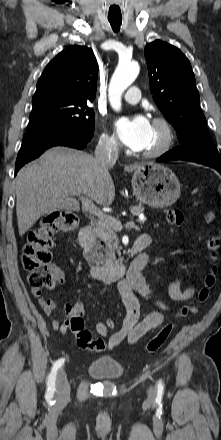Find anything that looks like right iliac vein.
I'll use <instances>...</instances> for the list:
<instances>
[{
    "instance_id": "obj_1",
    "label": "right iliac vein",
    "mask_w": 221,
    "mask_h": 440,
    "mask_svg": "<svg viewBox=\"0 0 221 440\" xmlns=\"http://www.w3.org/2000/svg\"><path fill=\"white\" fill-rule=\"evenodd\" d=\"M58 397L68 399L70 395V385L64 369H60L57 374Z\"/></svg>"
}]
</instances>
